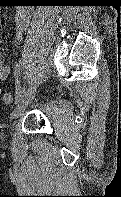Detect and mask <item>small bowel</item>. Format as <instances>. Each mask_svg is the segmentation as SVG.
Listing matches in <instances>:
<instances>
[{
    "mask_svg": "<svg viewBox=\"0 0 121 197\" xmlns=\"http://www.w3.org/2000/svg\"><path fill=\"white\" fill-rule=\"evenodd\" d=\"M31 11L28 8H18L15 15L13 44L19 46L22 36L27 29L30 21ZM0 36H1V18H0ZM11 73V67L3 63L0 55V81H5Z\"/></svg>",
    "mask_w": 121,
    "mask_h": 197,
    "instance_id": "1",
    "label": "small bowel"
}]
</instances>
